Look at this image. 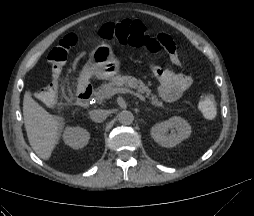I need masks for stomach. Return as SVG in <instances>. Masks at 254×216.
<instances>
[{"instance_id":"stomach-1","label":"stomach","mask_w":254,"mask_h":216,"mask_svg":"<svg viewBox=\"0 0 254 216\" xmlns=\"http://www.w3.org/2000/svg\"><path fill=\"white\" fill-rule=\"evenodd\" d=\"M120 60L115 57L111 46L107 43L97 45L90 53L88 61L82 67L80 75L83 79L90 77L109 78L119 73Z\"/></svg>"}]
</instances>
